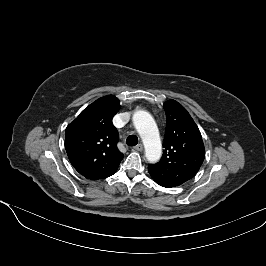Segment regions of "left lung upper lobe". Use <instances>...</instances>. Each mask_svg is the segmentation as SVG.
<instances>
[{"mask_svg":"<svg viewBox=\"0 0 266 266\" xmlns=\"http://www.w3.org/2000/svg\"><path fill=\"white\" fill-rule=\"evenodd\" d=\"M164 109L163 155L158 163L148 165V171L160 185L171 188L195 176L204 161L205 148L199 128L181 104L168 100Z\"/></svg>","mask_w":266,"mask_h":266,"instance_id":"left-lung-upper-lobe-1","label":"left lung upper lobe"}]
</instances>
